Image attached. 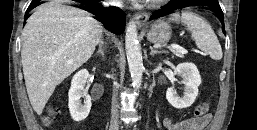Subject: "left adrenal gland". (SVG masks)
I'll use <instances>...</instances> for the list:
<instances>
[{
  "label": "left adrenal gland",
  "mask_w": 257,
  "mask_h": 130,
  "mask_svg": "<svg viewBox=\"0 0 257 130\" xmlns=\"http://www.w3.org/2000/svg\"><path fill=\"white\" fill-rule=\"evenodd\" d=\"M150 50H151V52H150V55H151V56H154V55H156V54L166 53L165 51H158V50H155L152 46H150Z\"/></svg>",
  "instance_id": "1"
}]
</instances>
